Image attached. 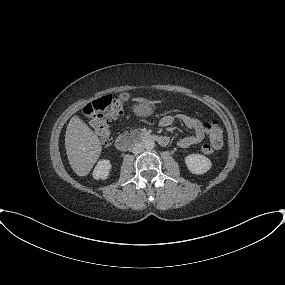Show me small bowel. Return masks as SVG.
I'll list each match as a JSON object with an SVG mask.
<instances>
[{
	"label": "small bowel",
	"mask_w": 285,
	"mask_h": 285,
	"mask_svg": "<svg viewBox=\"0 0 285 285\" xmlns=\"http://www.w3.org/2000/svg\"><path fill=\"white\" fill-rule=\"evenodd\" d=\"M175 120H179L182 122L186 128H188L192 134L189 136H185L178 141V146L181 148H188L190 146L196 145L201 143L206 134L207 130L205 125L197 118L184 114V113H177L174 115H167L161 118L159 124L161 126H170Z\"/></svg>",
	"instance_id": "c3829d8e"
}]
</instances>
